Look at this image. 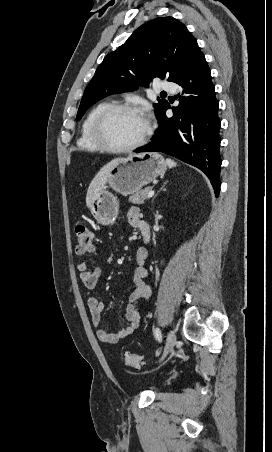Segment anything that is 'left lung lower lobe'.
Listing matches in <instances>:
<instances>
[{
  "instance_id": "left-lung-lower-lobe-1",
  "label": "left lung lower lobe",
  "mask_w": 272,
  "mask_h": 452,
  "mask_svg": "<svg viewBox=\"0 0 272 452\" xmlns=\"http://www.w3.org/2000/svg\"><path fill=\"white\" fill-rule=\"evenodd\" d=\"M173 82L186 95L172 108L173 117L166 116V110L171 108L166 104L157 117L160 125L151 143L135 152H164L199 168L210 179L217 197L221 170L219 104L210 69L197 43Z\"/></svg>"
}]
</instances>
